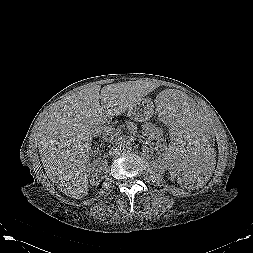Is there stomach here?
<instances>
[{
  "instance_id": "stomach-1",
  "label": "stomach",
  "mask_w": 253,
  "mask_h": 253,
  "mask_svg": "<svg viewBox=\"0 0 253 253\" xmlns=\"http://www.w3.org/2000/svg\"><path fill=\"white\" fill-rule=\"evenodd\" d=\"M154 106L149 100H142L133 108L128 110V116L137 122H144L149 120L154 114Z\"/></svg>"
}]
</instances>
